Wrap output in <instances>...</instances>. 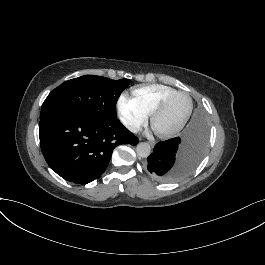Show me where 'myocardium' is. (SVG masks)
<instances>
[{
    "instance_id": "1",
    "label": "myocardium",
    "mask_w": 265,
    "mask_h": 265,
    "mask_svg": "<svg viewBox=\"0 0 265 265\" xmlns=\"http://www.w3.org/2000/svg\"><path fill=\"white\" fill-rule=\"evenodd\" d=\"M184 91H177V90H173L171 92H169L168 94L164 95L162 98L159 99V101L156 103L153 112H152V119H151V124L152 127L154 129V131L156 132L157 135H159L160 137H168L174 133H176L177 131H179L180 129H182L185 124L188 122L191 113H192V109H193V105H192V101L189 97H187V107L185 110V113L183 115V117L181 118V120L172 128L166 129V130H160L157 127V118L158 115L161 111V109L163 108V106L165 105V103L174 95L176 94H184Z\"/></svg>"
}]
</instances>
